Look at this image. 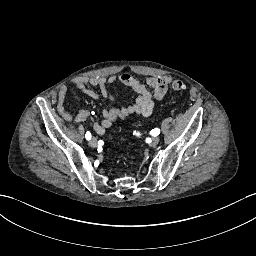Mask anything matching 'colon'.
I'll list each match as a JSON object with an SVG mask.
<instances>
[{"instance_id": "obj_1", "label": "colon", "mask_w": 256, "mask_h": 256, "mask_svg": "<svg viewBox=\"0 0 256 256\" xmlns=\"http://www.w3.org/2000/svg\"><path fill=\"white\" fill-rule=\"evenodd\" d=\"M172 86H173V90L175 91H184L186 89L185 84L181 81H174Z\"/></svg>"}]
</instances>
